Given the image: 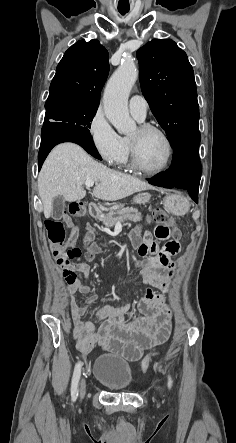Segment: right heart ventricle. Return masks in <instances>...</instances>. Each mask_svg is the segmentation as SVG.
<instances>
[{
    "label": "right heart ventricle",
    "mask_w": 236,
    "mask_h": 443,
    "mask_svg": "<svg viewBox=\"0 0 236 443\" xmlns=\"http://www.w3.org/2000/svg\"><path fill=\"white\" fill-rule=\"evenodd\" d=\"M123 140H124L125 147H126V153H125V157H124V160L122 162V165L125 166L126 168H132L131 156H130V147H129V138L124 137Z\"/></svg>",
    "instance_id": "obj_1"
}]
</instances>
